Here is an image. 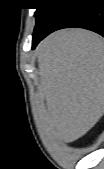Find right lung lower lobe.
Instances as JSON below:
<instances>
[{"instance_id": "1", "label": "right lung lower lobe", "mask_w": 104, "mask_h": 169, "mask_svg": "<svg viewBox=\"0 0 104 169\" xmlns=\"http://www.w3.org/2000/svg\"><path fill=\"white\" fill-rule=\"evenodd\" d=\"M80 27L104 36V0H61L44 26L33 33L32 49L55 30Z\"/></svg>"}]
</instances>
